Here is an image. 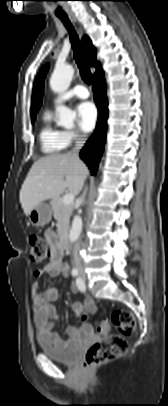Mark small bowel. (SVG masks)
Here are the masks:
<instances>
[{
    "label": "small bowel",
    "mask_w": 168,
    "mask_h": 406,
    "mask_svg": "<svg viewBox=\"0 0 168 406\" xmlns=\"http://www.w3.org/2000/svg\"><path fill=\"white\" fill-rule=\"evenodd\" d=\"M46 238L52 246L51 260L43 268L35 270L34 275L38 278L48 275L54 279L67 276L68 266L63 261V250L58 243L57 236L52 231H48ZM38 288L39 283H33L31 294L34 323L39 335L58 347H64L70 346L82 336H90L93 334L92 324L85 322L80 328L67 326L66 334L69 339L67 341L63 340L61 336L53 330V321L59 318L57 310L52 304L58 298L57 290L48 288L44 292H39ZM71 289L77 291V287L74 284L71 286ZM73 310L78 315L94 313L96 311V305L91 297H86L83 303H74Z\"/></svg>",
    "instance_id": "obj_1"
}]
</instances>
